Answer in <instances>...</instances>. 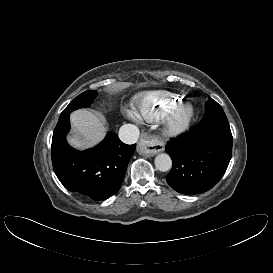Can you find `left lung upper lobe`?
<instances>
[{
  "label": "left lung upper lobe",
  "instance_id": "1",
  "mask_svg": "<svg viewBox=\"0 0 273 273\" xmlns=\"http://www.w3.org/2000/svg\"><path fill=\"white\" fill-rule=\"evenodd\" d=\"M225 117L226 115L222 107L212 98H209L205 104V116L203 118L212 119V118H225Z\"/></svg>",
  "mask_w": 273,
  "mask_h": 273
}]
</instances>
